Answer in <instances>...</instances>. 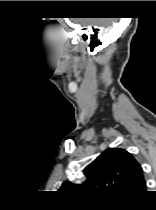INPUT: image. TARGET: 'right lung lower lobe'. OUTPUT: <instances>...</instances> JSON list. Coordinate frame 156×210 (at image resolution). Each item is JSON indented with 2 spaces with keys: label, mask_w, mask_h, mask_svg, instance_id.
I'll list each match as a JSON object with an SVG mask.
<instances>
[{
  "label": "right lung lower lobe",
  "mask_w": 156,
  "mask_h": 210,
  "mask_svg": "<svg viewBox=\"0 0 156 210\" xmlns=\"http://www.w3.org/2000/svg\"><path fill=\"white\" fill-rule=\"evenodd\" d=\"M145 194V192L142 194V195H140V196H138V197H136V198H134V199H132L131 201H136V200H139L143 195Z\"/></svg>",
  "instance_id": "98d812e1"
}]
</instances>
